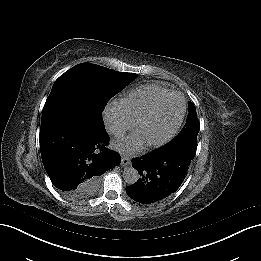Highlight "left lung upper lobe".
Listing matches in <instances>:
<instances>
[{"label": "left lung upper lobe", "instance_id": "left-lung-upper-lobe-1", "mask_svg": "<svg viewBox=\"0 0 261 261\" xmlns=\"http://www.w3.org/2000/svg\"><path fill=\"white\" fill-rule=\"evenodd\" d=\"M189 114L187 116V121L178 134V136L167 145H184L188 148L196 151L197 149V135L200 129V123L197 118L196 108L192 102L189 103Z\"/></svg>", "mask_w": 261, "mask_h": 261}]
</instances>
